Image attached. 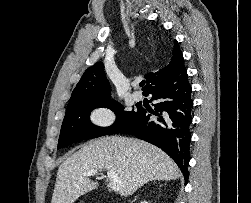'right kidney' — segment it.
I'll list each match as a JSON object with an SVG mask.
<instances>
[{"instance_id": "obj_1", "label": "right kidney", "mask_w": 251, "mask_h": 203, "mask_svg": "<svg viewBox=\"0 0 251 203\" xmlns=\"http://www.w3.org/2000/svg\"><path fill=\"white\" fill-rule=\"evenodd\" d=\"M141 203H148V202L144 201V202H141Z\"/></svg>"}]
</instances>
